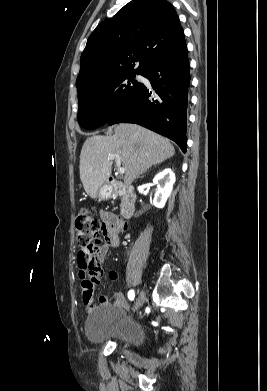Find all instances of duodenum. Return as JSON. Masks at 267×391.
Wrapping results in <instances>:
<instances>
[{
	"label": "duodenum",
	"mask_w": 267,
	"mask_h": 391,
	"mask_svg": "<svg viewBox=\"0 0 267 391\" xmlns=\"http://www.w3.org/2000/svg\"><path fill=\"white\" fill-rule=\"evenodd\" d=\"M109 190L112 194L119 195L122 197L121 203V216L125 219H129L134 215L136 206V194L134 190L115 178L110 177L108 179Z\"/></svg>",
	"instance_id": "410a0bca"
}]
</instances>
